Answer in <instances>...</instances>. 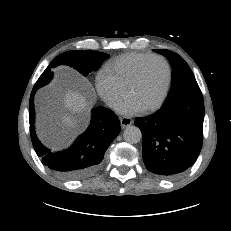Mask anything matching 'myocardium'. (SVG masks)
I'll use <instances>...</instances> for the list:
<instances>
[{
    "mask_svg": "<svg viewBox=\"0 0 231 231\" xmlns=\"http://www.w3.org/2000/svg\"><path fill=\"white\" fill-rule=\"evenodd\" d=\"M152 60H160L164 63L166 70H167V77H166L165 85H164V88L161 92V95L159 96V98L157 99L156 102L143 108V111H145V112H150V111H154V110L158 109L162 105V103L164 102V100L168 94L170 83H171V68H170V65L167 62V60L165 58H163L162 56H159V55H152L149 58H147L146 60H144L136 69L133 77L129 81L127 88H126V95L129 96L133 87L138 83L145 66Z\"/></svg>",
    "mask_w": 231,
    "mask_h": 231,
    "instance_id": "1",
    "label": "myocardium"
}]
</instances>
